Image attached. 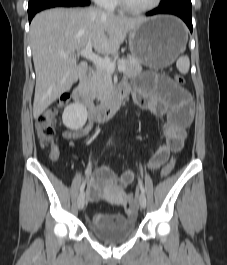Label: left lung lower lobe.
I'll use <instances>...</instances> for the list:
<instances>
[{"label": "left lung lower lobe", "instance_id": "1", "mask_svg": "<svg viewBox=\"0 0 227 265\" xmlns=\"http://www.w3.org/2000/svg\"><path fill=\"white\" fill-rule=\"evenodd\" d=\"M156 14H173L178 17H180L189 27L190 31L192 32V13L191 8L186 7H165L161 8L158 7L148 13H146L147 16H152Z\"/></svg>", "mask_w": 227, "mask_h": 265}]
</instances>
